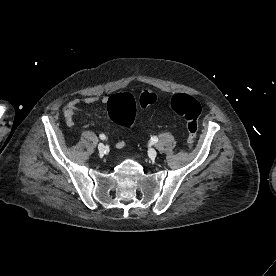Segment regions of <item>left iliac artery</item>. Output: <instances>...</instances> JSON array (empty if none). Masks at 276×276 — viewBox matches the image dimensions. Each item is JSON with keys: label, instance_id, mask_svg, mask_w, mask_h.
Wrapping results in <instances>:
<instances>
[{"label": "left iliac artery", "instance_id": "obj_1", "mask_svg": "<svg viewBox=\"0 0 276 276\" xmlns=\"http://www.w3.org/2000/svg\"><path fill=\"white\" fill-rule=\"evenodd\" d=\"M151 142L152 143H157L158 142V138L156 136L151 137Z\"/></svg>", "mask_w": 276, "mask_h": 276}]
</instances>
